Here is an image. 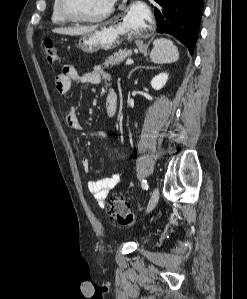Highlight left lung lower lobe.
Here are the masks:
<instances>
[{"mask_svg": "<svg viewBox=\"0 0 247 299\" xmlns=\"http://www.w3.org/2000/svg\"><path fill=\"white\" fill-rule=\"evenodd\" d=\"M157 32L168 33L181 41L193 54L197 41L203 0H152Z\"/></svg>", "mask_w": 247, "mask_h": 299, "instance_id": "0a47b994", "label": "left lung lower lobe"}]
</instances>
